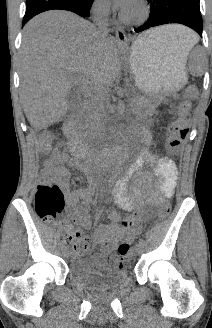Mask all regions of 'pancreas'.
Here are the masks:
<instances>
[{
    "instance_id": "1",
    "label": "pancreas",
    "mask_w": 212,
    "mask_h": 328,
    "mask_svg": "<svg viewBox=\"0 0 212 328\" xmlns=\"http://www.w3.org/2000/svg\"><path fill=\"white\" fill-rule=\"evenodd\" d=\"M132 108L135 112H142L145 108L150 106V101L143 96H136L132 102Z\"/></svg>"
}]
</instances>
